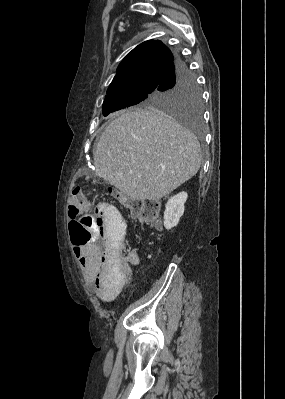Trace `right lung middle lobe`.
Masks as SVG:
<instances>
[{"mask_svg": "<svg viewBox=\"0 0 285 399\" xmlns=\"http://www.w3.org/2000/svg\"><path fill=\"white\" fill-rule=\"evenodd\" d=\"M137 106L173 115L197 128L201 123V94L190 71L173 83H165L157 89H139L116 93L105 97L103 115Z\"/></svg>", "mask_w": 285, "mask_h": 399, "instance_id": "dd1d6c3e", "label": "right lung middle lobe"}]
</instances>
